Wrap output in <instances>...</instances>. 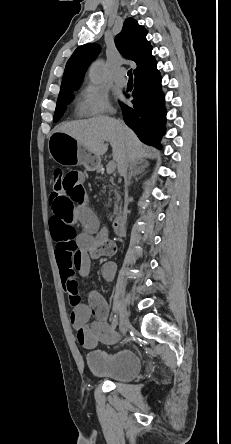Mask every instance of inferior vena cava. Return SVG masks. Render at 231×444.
<instances>
[{
  "mask_svg": "<svg viewBox=\"0 0 231 444\" xmlns=\"http://www.w3.org/2000/svg\"><path fill=\"white\" fill-rule=\"evenodd\" d=\"M127 168H128V160H125L122 163V165L118 168V171H119L120 175L124 177L125 187H127V185L129 184L128 183V177H127ZM124 194H126V197H127V194H129V189H124ZM122 201H123L122 204L124 205V207L121 210V213L123 215V221H125L126 217L128 216V213L126 211L129 210L128 206H129L130 199L129 198H123Z\"/></svg>",
  "mask_w": 231,
  "mask_h": 444,
  "instance_id": "inferior-vena-cava-1",
  "label": "inferior vena cava"
}]
</instances>
